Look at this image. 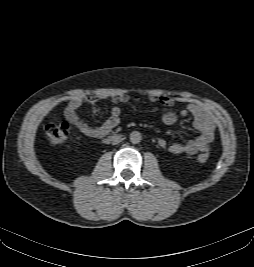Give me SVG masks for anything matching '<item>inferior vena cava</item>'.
<instances>
[{
	"instance_id": "1",
	"label": "inferior vena cava",
	"mask_w": 254,
	"mask_h": 267,
	"mask_svg": "<svg viewBox=\"0 0 254 267\" xmlns=\"http://www.w3.org/2000/svg\"><path fill=\"white\" fill-rule=\"evenodd\" d=\"M121 141H122V139L117 137V138H114V139H113L112 144L115 145V144H118V143L121 142Z\"/></svg>"
}]
</instances>
